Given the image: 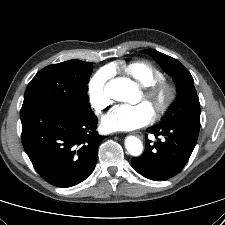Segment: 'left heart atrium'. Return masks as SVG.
Here are the masks:
<instances>
[{
  "mask_svg": "<svg viewBox=\"0 0 225 225\" xmlns=\"http://www.w3.org/2000/svg\"><path fill=\"white\" fill-rule=\"evenodd\" d=\"M153 117V108L147 102L121 104L103 118V126L108 131H130L147 125Z\"/></svg>",
  "mask_w": 225,
  "mask_h": 225,
  "instance_id": "left-heart-atrium-1",
  "label": "left heart atrium"
}]
</instances>
